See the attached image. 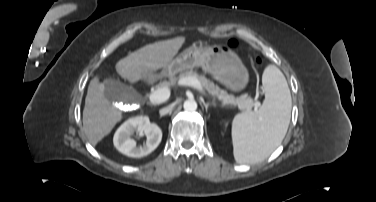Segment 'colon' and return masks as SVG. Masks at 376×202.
I'll return each mask as SVG.
<instances>
[{
    "label": "colon",
    "mask_w": 376,
    "mask_h": 202,
    "mask_svg": "<svg viewBox=\"0 0 376 202\" xmlns=\"http://www.w3.org/2000/svg\"><path fill=\"white\" fill-rule=\"evenodd\" d=\"M229 46L235 50H238L240 48V44L237 40H230ZM254 63L258 66H261L263 64L262 60L260 58H255Z\"/></svg>",
    "instance_id": "5ec220e1"
}]
</instances>
